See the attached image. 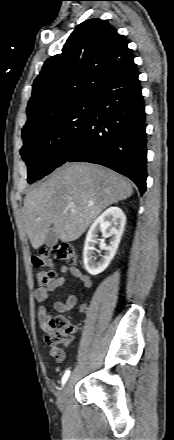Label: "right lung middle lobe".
Returning a JSON list of instances; mask_svg holds the SVG:
<instances>
[{"label": "right lung middle lobe", "instance_id": "obj_1", "mask_svg": "<svg viewBox=\"0 0 174 440\" xmlns=\"http://www.w3.org/2000/svg\"><path fill=\"white\" fill-rule=\"evenodd\" d=\"M92 99H81L22 131L20 150L33 183L64 164L87 128Z\"/></svg>", "mask_w": 174, "mask_h": 440}]
</instances>
